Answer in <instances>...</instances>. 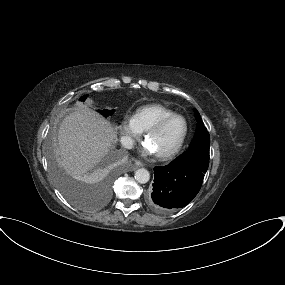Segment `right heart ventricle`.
Here are the masks:
<instances>
[{
	"mask_svg": "<svg viewBox=\"0 0 285 285\" xmlns=\"http://www.w3.org/2000/svg\"><path fill=\"white\" fill-rule=\"evenodd\" d=\"M175 114L172 110L161 104H151L136 110L134 120L141 132H146L164 117Z\"/></svg>",
	"mask_w": 285,
	"mask_h": 285,
	"instance_id": "obj_1",
	"label": "right heart ventricle"
}]
</instances>
